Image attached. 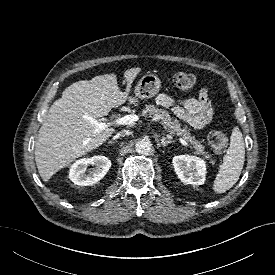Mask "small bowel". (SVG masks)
Instances as JSON below:
<instances>
[{
    "label": "small bowel",
    "instance_id": "obj_1",
    "mask_svg": "<svg viewBox=\"0 0 275 275\" xmlns=\"http://www.w3.org/2000/svg\"><path fill=\"white\" fill-rule=\"evenodd\" d=\"M156 103L161 107L171 109L175 116L195 129H202L210 123L213 117V109L206 88L199 91L197 98L182 100L162 93L156 97Z\"/></svg>",
    "mask_w": 275,
    "mask_h": 275
}]
</instances>
